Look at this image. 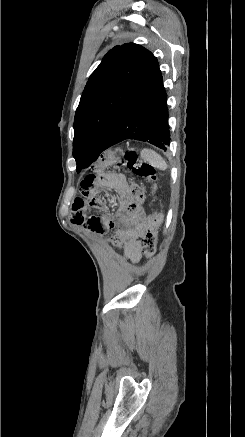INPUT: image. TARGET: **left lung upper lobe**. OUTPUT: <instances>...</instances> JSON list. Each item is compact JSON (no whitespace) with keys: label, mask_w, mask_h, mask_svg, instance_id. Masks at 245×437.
Here are the masks:
<instances>
[{"label":"left lung upper lobe","mask_w":245,"mask_h":437,"mask_svg":"<svg viewBox=\"0 0 245 437\" xmlns=\"http://www.w3.org/2000/svg\"><path fill=\"white\" fill-rule=\"evenodd\" d=\"M156 62L144 47L123 44L111 49L91 74L74 118L78 173L99 157L119 114Z\"/></svg>","instance_id":"5c2ea615"}]
</instances>
